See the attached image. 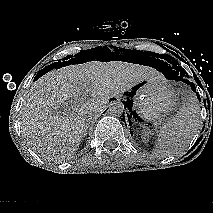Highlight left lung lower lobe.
Instances as JSON below:
<instances>
[{"mask_svg": "<svg viewBox=\"0 0 213 213\" xmlns=\"http://www.w3.org/2000/svg\"><path fill=\"white\" fill-rule=\"evenodd\" d=\"M187 83H189L188 81H186ZM190 85H191V88H192V90L194 91V92H196V90H195V85L193 84V83H190ZM197 94V93H196ZM197 97H198V99H199V101H200V96L199 95H197ZM123 103H125L124 101H122ZM124 114V113H123Z\"/></svg>", "mask_w": 213, "mask_h": 213, "instance_id": "obj_1", "label": "left lung lower lobe"}]
</instances>
